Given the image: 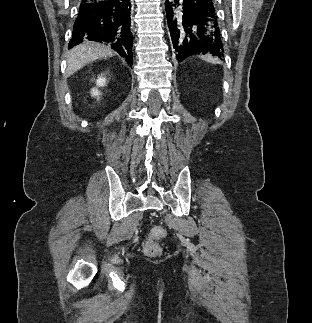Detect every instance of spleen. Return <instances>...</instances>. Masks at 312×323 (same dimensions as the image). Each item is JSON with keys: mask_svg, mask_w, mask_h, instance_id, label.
<instances>
[{"mask_svg": "<svg viewBox=\"0 0 312 323\" xmlns=\"http://www.w3.org/2000/svg\"><path fill=\"white\" fill-rule=\"evenodd\" d=\"M203 60H206V62H211V64H220L218 60H215V58H211V56H202Z\"/></svg>", "mask_w": 312, "mask_h": 323, "instance_id": "3e777b00", "label": "spleen"}]
</instances>
